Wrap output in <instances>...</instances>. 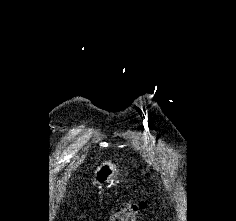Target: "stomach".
<instances>
[{"mask_svg": "<svg viewBox=\"0 0 236 221\" xmlns=\"http://www.w3.org/2000/svg\"><path fill=\"white\" fill-rule=\"evenodd\" d=\"M118 171L119 169L114 162L111 160L105 161L94 170L91 180L93 184L103 185L115 178Z\"/></svg>", "mask_w": 236, "mask_h": 221, "instance_id": "obj_1", "label": "stomach"}]
</instances>
